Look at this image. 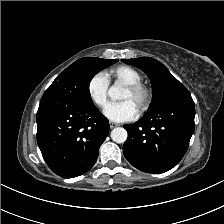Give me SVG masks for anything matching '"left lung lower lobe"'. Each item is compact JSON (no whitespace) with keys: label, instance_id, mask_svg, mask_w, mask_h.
I'll list each match as a JSON object with an SVG mask.
<instances>
[{"label":"left lung lower lobe","instance_id":"left-lung-lower-lobe-1","mask_svg":"<svg viewBox=\"0 0 224 224\" xmlns=\"http://www.w3.org/2000/svg\"><path fill=\"white\" fill-rule=\"evenodd\" d=\"M192 97L172 102L145 114L135 124L125 125L128 138L123 146L126 159L137 169L163 173L180 162L194 132Z\"/></svg>","mask_w":224,"mask_h":224}]
</instances>
